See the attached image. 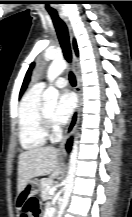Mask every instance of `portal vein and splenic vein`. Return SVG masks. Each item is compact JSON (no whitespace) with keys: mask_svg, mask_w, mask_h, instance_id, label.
Masks as SVG:
<instances>
[{"mask_svg":"<svg viewBox=\"0 0 132 217\" xmlns=\"http://www.w3.org/2000/svg\"><path fill=\"white\" fill-rule=\"evenodd\" d=\"M49 195H54V190H53V189H51V190L49 191Z\"/></svg>","mask_w":132,"mask_h":217,"instance_id":"18ae733b","label":"portal vein and splenic vein"}]
</instances>
